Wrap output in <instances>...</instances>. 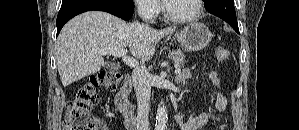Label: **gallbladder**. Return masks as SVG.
Masks as SVG:
<instances>
[{"mask_svg": "<svg viewBox=\"0 0 299 130\" xmlns=\"http://www.w3.org/2000/svg\"><path fill=\"white\" fill-rule=\"evenodd\" d=\"M104 67H105V68H108V69H114V68H116V65L113 64V63H106V64L104 65Z\"/></svg>", "mask_w": 299, "mask_h": 130, "instance_id": "1", "label": "gallbladder"}]
</instances>
